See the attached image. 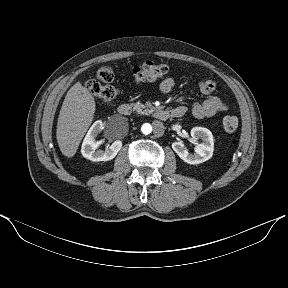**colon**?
<instances>
[{"label": "colon", "instance_id": "1", "mask_svg": "<svg viewBox=\"0 0 288 288\" xmlns=\"http://www.w3.org/2000/svg\"><path fill=\"white\" fill-rule=\"evenodd\" d=\"M167 70L164 64L147 61L141 65L134 66L131 70V75L136 82L155 81L162 78L167 73ZM96 77L97 79H91L86 82L87 90L105 102L116 98L118 89L109 84L115 80L114 70L109 66H102L98 69ZM222 125L225 132L234 133L238 128L239 122L235 116H226Z\"/></svg>", "mask_w": 288, "mask_h": 288}]
</instances>
